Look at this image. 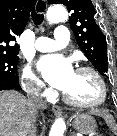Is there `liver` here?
<instances>
[{
  "label": "liver",
  "mask_w": 117,
  "mask_h": 136,
  "mask_svg": "<svg viewBox=\"0 0 117 136\" xmlns=\"http://www.w3.org/2000/svg\"><path fill=\"white\" fill-rule=\"evenodd\" d=\"M36 111L14 90L0 91V136H27Z\"/></svg>",
  "instance_id": "liver-1"
}]
</instances>
